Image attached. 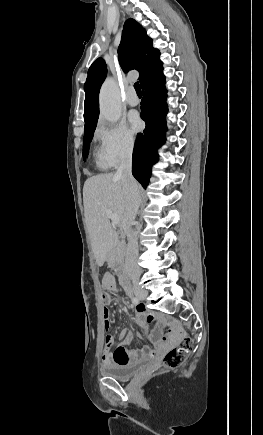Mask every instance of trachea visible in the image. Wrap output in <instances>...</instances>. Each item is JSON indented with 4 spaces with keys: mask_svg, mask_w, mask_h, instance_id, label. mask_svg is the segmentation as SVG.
<instances>
[{
    "mask_svg": "<svg viewBox=\"0 0 263 435\" xmlns=\"http://www.w3.org/2000/svg\"><path fill=\"white\" fill-rule=\"evenodd\" d=\"M134 88H135L137 94H142L139 82H136L134 84Z\"/></svg>",
    "mask_w": 263,
    "mask_h": 435,
    "instance_id": "1",
    "label": "trachea"
}]
</instances>
